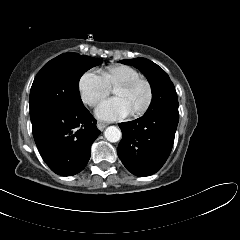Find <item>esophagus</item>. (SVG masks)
<instances>
[{
    "label": "esophagus",
    "instance_id": "obj_1",
    "mask_svg": "<svg viewBox=\"0 0 240 240\" xmlns=\"http://www.w3.org/2000/svg\"><path fill=\"white\" fill-rule=\"evenodd\" d=\"M106 127H107V124H106V123H102V122H98V123H97V128H98L100 131H103Z\"/></svg>",
    "mask_w": 240,
    "mask_h": 240
}]
</instances>
